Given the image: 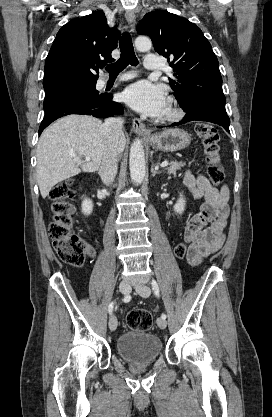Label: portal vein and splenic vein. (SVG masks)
<instances>
[{"instance_id":"portal-vein-and-splenic-vein-1","label":"portal vein and splenic vein","mask_w":272,"mask_h":417,"mask_svg":"<svg viewBox=\"0 0 272 417\" xmlns=\"http://www.w3.org/2000/svg\"><path fill=\"white\" fill-rule=\"evenodd\" d=\"M69 155L71 157H76V154L74 152H72V151L69 152ZM85 160L86 161H90V157H86ZM166 166H168V162L167 161H164V162L161 163V167H166Z\"/></svg>"}]
</instances>
